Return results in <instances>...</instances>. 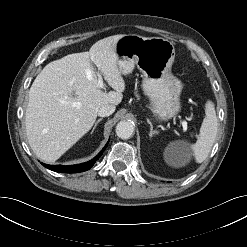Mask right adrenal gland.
I'll return each mask as SVG.
<instances>
[{"label":"right adrenal gland","mask_w":247,"mask_h":247,"mask_svg":"<svg viewBox=\"0 0 247 247\" xmlns=\"http://www.w3.org/2000/svg\"><path fill=\"white\" fill-rule=\"evenodd\" d=\"M101 121H102V118H100V119H98V120L96 121V123H95V125H94V127H93V129H92V131H91V134L94 132V130L96 129L97 125H98Z\"/></svg>","instance_id":"1"}]
</instances>
